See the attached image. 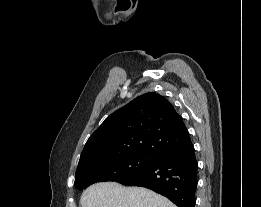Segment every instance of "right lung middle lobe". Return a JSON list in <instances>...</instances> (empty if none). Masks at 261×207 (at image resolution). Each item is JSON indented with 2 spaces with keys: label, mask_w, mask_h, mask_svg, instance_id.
<instances>
[{
  "label": "right lung middle lobe",
  "mask_w": 261,
  "mask_h": 207,
  "mask_svg": "<svg viewBox=\"0 0 261 207\" xmlns=\"http://www.w3.org/2000/svg\"><path fill=\"white\" fill-rule=\"evenodd\" d=\"M152 157L141 155L121 156L84 165L76 170L75 187L78 190L103 181L119 182L147 168Z\"/></svg>",
  "instance_id": "obj_1"
}]
</instances>
